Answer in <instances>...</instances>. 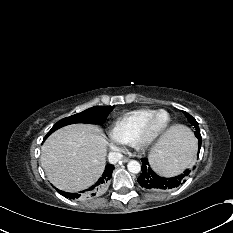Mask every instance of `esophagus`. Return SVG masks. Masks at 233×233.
Wrapping results in <instances>:
<instances>
[{
	"instance_id": "34e87169",
	"label": "esophagus",
	"mask_w": 233,
	"mask_h": 233,
	"mask_svg": "<svg viewBox=\"0 0 233 233\" xmlns=\"http://www.w3.org/2000/svg\"><path fill=\"white\" fill-rule=\"evenodd\" d=\"M122 160L123 162H128L130 159L128 157H124Z\"/></svg>"
}]
</instances>
